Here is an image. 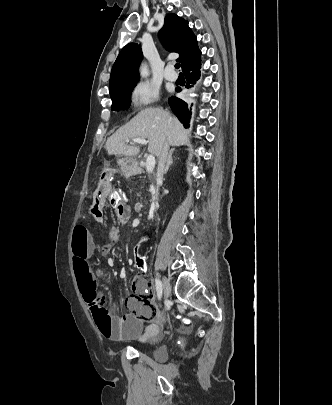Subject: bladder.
<instances>
[{"label": "bladder", "mask_w": 332, "mask_h": 405, "mask_svg": "<svg viewBox=\"0 0 332 405\" xmlns=\"http://www.w3.org/2000/svg\"><path fill=\"white\" fill-rule=\"evenodd\" d=\"M160 338H161V335H158V337L154 340V342H159ZM152 356L156 361H159V362L166 361L167 357H168V352H167L166 347L158 346L157 348L154 349Z\"/></svg>", "instance_id": "obj_1"}]
</instances>
